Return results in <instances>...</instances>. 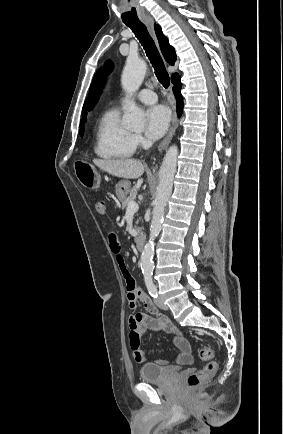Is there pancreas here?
<instances>
[{
	"label": "pancreas",
	"mask_w": 283,
	"mask_h": 434,
	"mask_svg": "<svg viewBox=\"0 0 283 434\" xmlns=\"http://www.w3.org/2000/svg\"><path fill=\"white\" fill-rule=\"evenodd\" d=\"M136 198V189L132 188L128 197L122 201V208H127L130 201H134ZM138 223V222H137Z\"/></svg>",
	"instance_id": "1"
}]
</instances>
